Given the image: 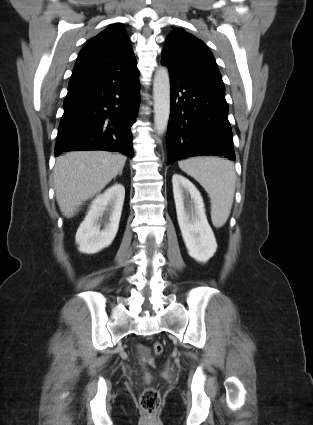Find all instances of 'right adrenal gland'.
Returning <instances> with one entry per match:
<instances>
[{
	"instance_id": "2a0ac1e0",
	"label": "right adrenal gland",
	"mask_w": 313,
	"mask_h": 425,
	"mask_svg": "<svg viewBox=\"0 0 313 425\" xmlns=\"http://www.w3.org/2000/svg\"><path fill=\"white\" fill-rule=\"evenodd\" d=\"M118 175H119V176H121V175H122V170H120V171H119Z\"/></svg>"
}]
</instances>
